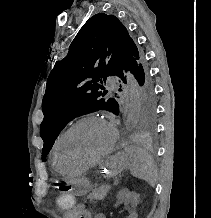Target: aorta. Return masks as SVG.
Listing matches in <instances>:
<instances>
[{
  "mask_svg": "<svg viewBox=\"0 0 211 218\" xmlns=\"http://www.w3.org/2000/svg\"><path fill=\"white\" fill-rule=\"evenodd\" d=\"M126 77L129 99V110L126 125L128 129H132L136 126L139 118L140 90L135 78L129 72L126 73Z\"/></svg>",
  "mask_w": 211,
  "mask_h": 218,
  "instance_id": "1",
  "label": "aorta"
}]
</instances>
